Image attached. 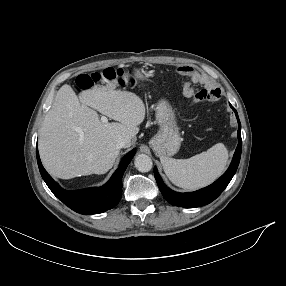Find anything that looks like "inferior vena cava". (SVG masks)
<instances>
[{"label":"inferior vena cava","mask_w":286,"mask_h":286,"mask_svg":"<svg viewBox=\"0 0 286 286\" xmlns=\"http://www.w3.org/2000/svg\"><path fill=\"white\" fill-rule=\"evenodd\" d=\"M117 148H126L127 147V140L124 138H119L116 143Z\"/></svg>","instance_id":"inferior-vena-cava-1"}]
</instances>
